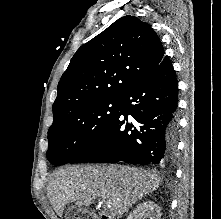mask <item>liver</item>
<instances>
[{
  "mask_svg": "<svg viewBox=\"0 0 221 219\" xmlns=\"http://www.w3.org/2000/svg\"><path fill=\"white\" fill-rule=\"evenodd\" d=\"M160 182L157 174L129 166H69L54 172L47 196L58 216L69 203L88 207L100 198L119 219Z\"/></svg>",
  "mask_w": 221,
  "mask_h": 219,
  "instance_id": "1",
  "label": "liver"
}]
</instances>
